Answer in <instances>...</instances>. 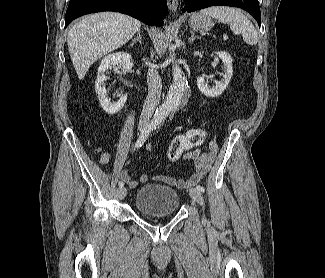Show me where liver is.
<instances>
[{
	"mask_svg": "<svg viewBox=\"0 0 325 278\" xmlns=\"http://www.w3.org/2000/svg\"><path fill=\"white\" fill-rule=\"evenodd\" d=\"M140 25L139 20L115 12L95 13L73 23L67 44L78 78L83 79L96 60L126 44Z\"/></svg>",
	"mask_w": 325,
	"mask_h": 278,
	"instance_id": "1",
	"label": "liver"
}]
</instances>
